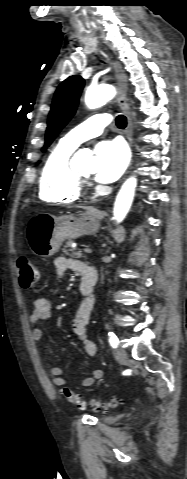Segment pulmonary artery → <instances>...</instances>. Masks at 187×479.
<instances>
[{
    "mask_svg": "<svg viewBox=\"0 0 187 479\" xmlns=\"http://www.w3.org/2000/svg\"><path fill=\"white\" fill-rule=\"evenodd\" d=\"M111 120V116L107 113L95 114L66 133L60 141L69 147L76 148L82 142L100 135Z\"/></svg>",
    "mask_w": 187,
    "mask_h": 479,
    "instance_id": "pulmonary-artery-1",
    "label": "pulmonary artery"
}]
</instances>
